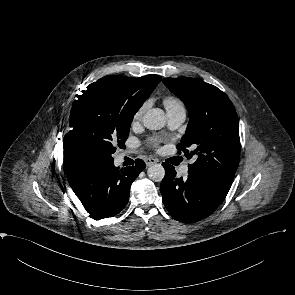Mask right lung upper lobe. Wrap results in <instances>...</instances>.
I'll return each mask as SVG.
<instances>
[{"instance_id":"1","label":"right lung upper lobe","mask_w":295,"mask_h":295,"mask_svg":"<svg viewBox=\"0 0 295 295\" xmlns=\"http://www.w3.org/2000/svg\"><path fill=\"white\" fill-rule=\"evenodd\" d=\"M140 78L142 80L144 94L147 98L162 79L158 75H147ZM63 147L66 175L68 181H70L78 172L79 168L83 165V163L76 158V156L71 151L70 147L65 142H63Z\"/></svg>"}]
</instances>
